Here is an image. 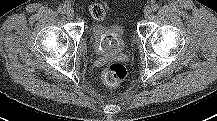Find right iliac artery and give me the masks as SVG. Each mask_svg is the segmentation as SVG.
I'll list each match as a JSON object with an SVG mask.
<instances>
[{
  "label": "right iliac artery",
  "mask_w": 217,
  "mask_h": 121,
  "mask_svg": "<svg viewBox=\"0 0 217 121\" xmlns=\"http://www.w3.org/2000/svg\"><path fill=\"white\" fill-rule=\"evenodd\" d=\"M57 11L60 14H65L66 13V9L64 7H62V6L58 7Z\"/></svg>",
  "instance_id": "1"
}]
</instances>
